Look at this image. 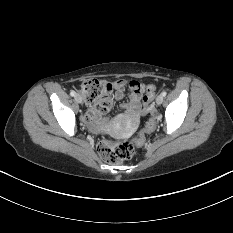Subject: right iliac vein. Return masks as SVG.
Wrapping results in <instances>:
<instances>
[{
  "label": "right iliac vein",
  "mask_w": 233,
  "mask_h": 233,
  "mask_svg": "<svg viewBox=\"0 0 233 233\" xmlns=\"http://www.w3.org/2000/svg\"><path fill=\"white\" fill-rule=\"evenodd\" d=\"M75 100H76L78 103H82V101H83L81 95H79V94H76V95H75Z\"/></svg>",
  "instance_id": "right-iliac-vein-1"
}]
</instances>
